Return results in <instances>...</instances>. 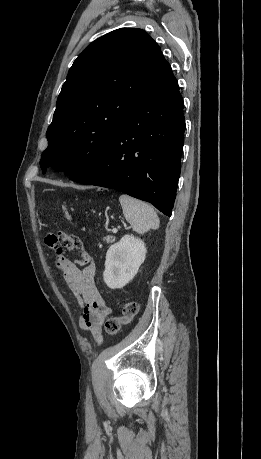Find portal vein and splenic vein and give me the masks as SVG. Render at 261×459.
I'll list each match as a JSON object with an SVG mask.
<instances>
[{
  "instance_id": "portal-vein-and-splenic-vein-1",
  "label": "portal vein and splenic vein",
  "mask_w": 261,
  "mask_h": 459,
  "mask_svg": "<svg viewBox=\"0 0 261 459\" xmlns=\"http://www.w3.org/2000/svg\"><path fill=\"white\" fill-rule=\"evenodd\" d=\"M113 233H117L118 232V229L117 228H113Z\"/></svg>"
}]
</instances>
